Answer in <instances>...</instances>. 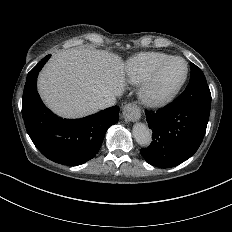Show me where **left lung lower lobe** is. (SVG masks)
<instances>
[{
	"mask_svg": "<svg viewBox=\"0 0 232 232\" xmlns=\"http://www.w3.org/2000/svg\"><path fill=\"white\" fill-rule=\"evenodd\" d=\"M148 126L152 129V143L141 154L151 165L160 168L175 167L189 159L198 150L204 138L209 113L176 103L157 112L146 111Z\"/></svg>",
	"mask_w": 232,
	"mask_h": 232,
	"instance_id": "obj_1",
	"label": "left lung lower lobe"
}]
</instances>
